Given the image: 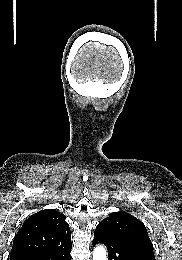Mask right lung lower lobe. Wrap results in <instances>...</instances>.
<instances>
[{
    "instance_id": "right-lung-lower-lobe-1",
    "label": "right lung lower lobe",
    "mask_w": 182,
    "mask_h": 260,
    "mask_svg": "<svg viewBox=\"0 0 182 260\" xmlns=\"http://www.w3.org/2000/svg\"><path fill=\"white\" fill-rule=\"evenodd\" d=\"M71 243L52 250L35 253L20 260H71Z\"/></svg>"
}]
</instances>
